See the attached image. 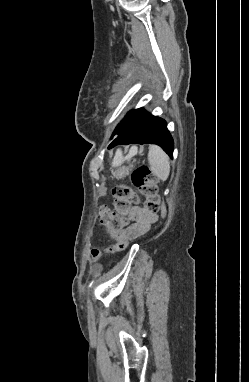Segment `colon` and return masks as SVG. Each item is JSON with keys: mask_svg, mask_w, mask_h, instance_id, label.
Segmentation results:
<instances>
[{"mask_svg": "<svg viewBox=\"0 0 249 382\" xmlns=\"http://www.w3.org/2000/svg\"><path fill=\"white\" fill-rule=\"evenodd\" d=\"M132 184L137 187L145 199L144 209L151 214L162 212V203L158 192L155 176L147 166L136 168L131 175ZM114 197L113 209L102 208L100 218L109 224L112 230H121L128 224L126 213L138 198L128 185H118L112 189ZM129 242L127 236H121L114 245L104 251L93 249L91 255L93 259L99 258L103 254H116L125 250Z\"/></svg>", "mask_w": 249, "mask_h": 382, "instance_id": "obj_1", "label": "colon"}]
</instances>
